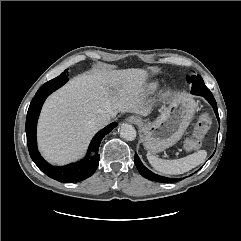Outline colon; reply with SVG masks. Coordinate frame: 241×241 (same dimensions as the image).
<instances>
[{"instance_id": "obj_1", "label": "colon", "mask_w": 241, "mask_h": 241, "mask_svg": "<svg viewBox=\"0 0 241 241\" xmlns=\"http://www.w3.org/2000/svg\"><path fill=\"white\" fill-rule=\"evenodd\" d=\"M210 126L211 118L209 114L203 113L200 115L194 126L192 136L186 141V148L189 150H196L200 148L202 139L206 132L209 130Z\"/></svg>"}]
</instances>
